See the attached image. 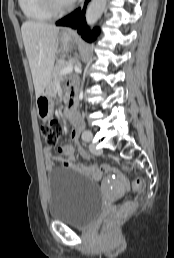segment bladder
<instances>
[{
    "instance_id": "obj_1",
    "label": "bladder",
    "mask_w": 174,
    "mask_h": 258,
    "mask_svg": "<svg viewBox=\"0 0 174 258\" xmlns=\"http://www.w3.org/2000/svg\"><path fill=\"white\" fill-rule=\"evenodd\" d=\"M48 214L75 227H87L101 213V188L72 169L57 168L48 174Z\"/></svg>"
}]
</instances>
